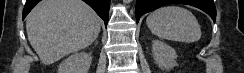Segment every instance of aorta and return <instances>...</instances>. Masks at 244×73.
<instances>
[{
  "label": "aorta",
  "mask_w": 244,
  "mask_h": 73,
  "mask_svg": "<svg viewBox=\"0 0 244 73\" xmlns=\"http://www.w3.org/2000/svg\"><path fill=\"white\" fill-rule=\"evenodd\" d=\"M123 2L127 4V3H130L131 0H123Z\"/></svg>",
  "instance_id": "762f6f07"
}]
</instances>
